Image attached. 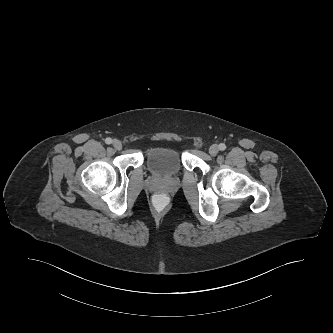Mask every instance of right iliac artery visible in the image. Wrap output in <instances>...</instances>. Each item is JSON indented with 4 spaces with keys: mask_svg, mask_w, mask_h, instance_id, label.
<instances>
[{
    "mask_svg": "<svg viewBox=\"0 0 333 333\" xmlns=\"http://www.w3.org/2000/svg\"><path fill=\"white\" fill-rule=\"evenodd\" d=\"M105 143H106V144H111V143H112V139L109 138V137L106 138V139H105Z\"/></svg>",
    "mask_w": 333,
    "mask_h": 333,
    "instance_id": "1",
    "label": "right iliac artery"
}]
</instances>
